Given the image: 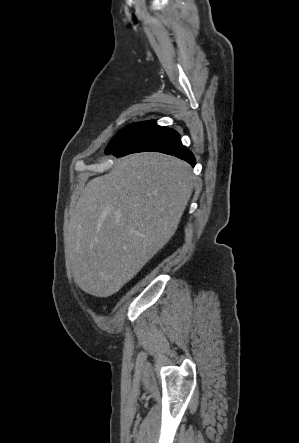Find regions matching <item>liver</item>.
Returning <instances> with one entry per match:
<instances>
[{"label": "liver", "instance_id": "6515ba94", "mask_svg": "<svg viewBox=\"0 0 299 443\" xmlns=\"http://www.w3.org/2000/svg\"><path fill=\"white\" fill-rule=\"evenodd\" d=\"M190 165L156 152L119 159L70 212L67 257L84 292L119 291L171 239L192 195Z\"/></svg>", "mask_w": 299, "mask_h": 443}]
</instances>
